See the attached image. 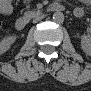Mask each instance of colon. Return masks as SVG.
Masks as SVG:
<instances>
[{"mask_svg":"<svg viewBox=\"0 0 91 91\" xmlns=\"http://www.w3.org/2000/svg\"><path fill=\"white\" fill-rule=\"evenodd\" d=\"M9 2L8 1H3L2 2V10L5 12L9 8Z\"/></svg>","mask_w":91,"mask_h":91,"instance_id":"colon-1","label":"colon"}]
</instances>
